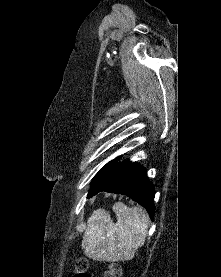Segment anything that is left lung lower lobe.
Returning <instances> with one entry per match:
<instances>
[{"instance_id":"left-lung-lower-lobe-1","label":"left lung lower lobe","mask_w":221,"mask_h":277,"mask_svg":"<svg viewBox=\"0 0 221 277\" xmlns=\"http://www.w3.org/2000/svg\"><path fill=\"white\" fill-rule=\"evenodd\" d=\"M101 191L120 193L141 204L150 217H154V188L146 175V169L139 164L129 163L112 177L93 184L88 197Z\"/></svg>"}]
</instances>
